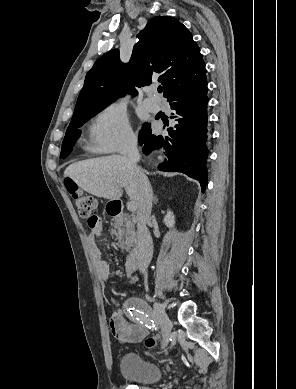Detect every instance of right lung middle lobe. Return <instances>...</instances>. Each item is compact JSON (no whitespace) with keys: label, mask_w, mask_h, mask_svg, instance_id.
I'll use <instances>...</instances> for the list:
<instances>
[{"label":"right lung middle lobe","mask_w":296,"mask_h":389,"mask_svg":"<svg viewBox=\"0 0 296 389\" xmlns=\"http://www.w3.org/2000/svg\"><path fill=\"white\" fill-rule=\"evenodd\" d=\"M103 107L87 108L78 114L73 115L69 127L67 128L65 138L62 143V150L60 157H67L75 144V141L80 136V130L78 128L82 126L87 120L99 113ZM150 131V126L144 125L139 133V142H143L146 139L147 134Z\"/></svg>","instance_id":"1"}]
</instances>
